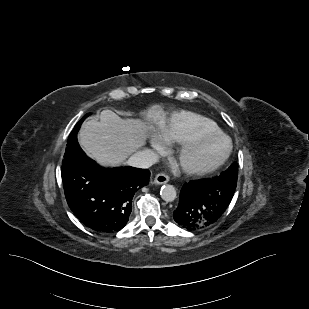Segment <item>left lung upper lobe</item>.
I'll use <instances>...</instances> for the list:
<instances>
[{"label": "left lung upper lobe", "instance_id": "obj_1", "mask_svg": "<svg viewBox=\"0 0 309 309\" xmlns=\"http://www.w3.org/2000/svg\"><path fill=\"white\" fill-rule=\"evenodd\" d=\"M220 176L230 177L237 180L238 177V163L234 162L225 172H222Z\"/></svg>", "mask_w": 309, "mask_h": 309}]
</instances>
